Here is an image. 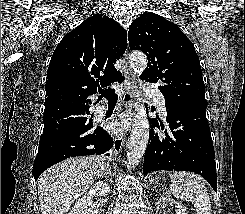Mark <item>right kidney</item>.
<instances>
[{"instance_id":"right-kidney-1","label":"right kidney","mask_w":245,"mask_h":214,"mask_svg":"<svg viewBox=\"0 0 245 214\" xmlns=\"http://www.w3.org/2000/svg\"><path fill=\"white\" fill-rule=\"evenodd\" d=\"M110 193L108 184L99 181L94 183L88 193L79 199L69 214H92L93 213V197L94 196H107Z\"/></svg>"}]
</instances>
